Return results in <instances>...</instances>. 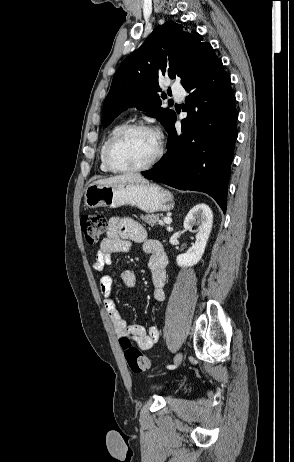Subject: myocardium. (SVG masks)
Segmentation results:
<instances>
[{"mask_svg": "<svg viewBox=\"0 0 294 462\" xmlns=\"http://www.w3.org/2000/svg\"><path fill=\"white\" fill-rule=\"evenodd\" d=\"M133 130H144L153 133L157 137V150L153 157L146 162L145 164L138 166V167H133V168H127V167H119L117 166L112 159V151L116 143L120 140L121 137H123L126 133L133 131ZM164 151L163 144L161 142V139L159 137V134L156 132V130L144 123H127L121 126L108 140L105 149H104V163L106 167L112 171V172H118V173H139L146 171L150 168H152L162 157Z\"/></svg>", "mask_w": 294, "mask_h": 462, "instance_id": "myocardium-1", "label": "myocardium"}]
</instances>
